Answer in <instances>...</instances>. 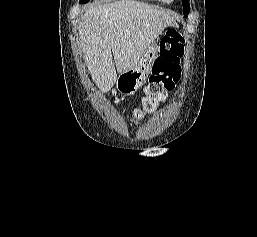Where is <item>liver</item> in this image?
Masks as SVG:
<instances>
[{
  "label": "liver",
  "mask_w": 257,
  "mask_h": 237,
  "mask_svg": "<svg viewBox=\"0 0 257 237\" xmlns=\"http://www.w3.org/2000/svg\"><path fill=\"white\" fill-rule=\"evenodd\" d=\"M175 25L163 10L134 0L89 7L79 34L84 59L98 88L109 91L116 83L117 73L134 68L164 29Z\"/></svg>",
  "instance_id": "obj_1"
}]
</instances>
